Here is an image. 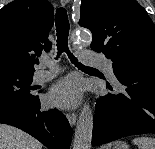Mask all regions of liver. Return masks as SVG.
<instances>
[{"mask_svg":"<svg viewBox=\"0 0 155 149\" xmlns=\"http://www.w3.org/2000/svg\"><path fill=\"white\" fill-rule=\"evenodd\" d=\"M0 149H42V144L18 128L0 124Z\"/></svg>","mask_w":155,"mask_h":149,"instance_id":"6515ba94","label":"liver"}]
</instances>
